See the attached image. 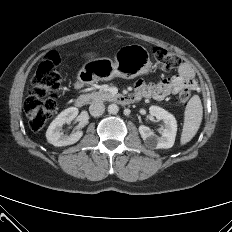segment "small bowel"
I'll return each instance as SVG.
<instances>
[{
    "mask_svg": "<svg viewBox=\"0 0 232 232\" xmlns=\"http://www.w3.org/2000/svg\"><path fill=\"white\" fill-rule=\"evenodd\" d=\"M190 85L197 88L195 82V73L192 65L188 62L180 64L178 74L168 76L159 83L148 84L143 80L135 83V95L141 98H152L155 100H163L166 97L177 94L183 87Z\"/></svg>",
    "mask_w": 232,
    "mask_h": 232,
    "instance_id": "small-bowel-1",
    "label": "small bowel"
}]
</instances>
